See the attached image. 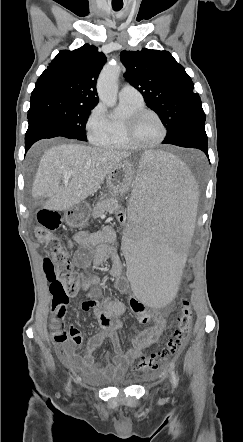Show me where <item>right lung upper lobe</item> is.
Segmentation results:
<instances>
[{
    "label": "right lung upper lobe",
    "instance_id": "cb5924a9",
    "mask_svg": "<svg viewBox=\"0 0 243 442\" xmlns=\"http://www.w3.org/2000/svg\"><path fill=\"white\" fill-rule=\"evenodd\" d=\"M105 61L94 45L61 50L38 78L31 97L59 95L95 106L99 100L96 80Z\"/></svg>",
    "mask_w": 243,
    "mask_h": 442
}]
</instances>
